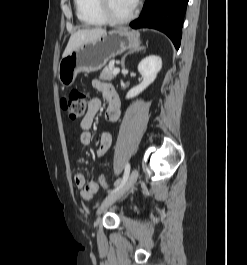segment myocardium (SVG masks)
<instances>
[{"label": "myocardium", "instance_id": "myocardium-1", "mask_svg": "<svg viewBox=\"0 0 247 265\" xmlns=\"http://www.w3.org/2000/svg\"><path fill=\"white\" fill-rule=\"evenodd\" d=\"M139 5V0H137L130 14L124 17H119L112 12L109 5V0H98V9L101 15L108 23L113 25H122L131 22L138 14Z\"/></svg>", "mask_w": 247, "mask_h": 265}]
</instances>
